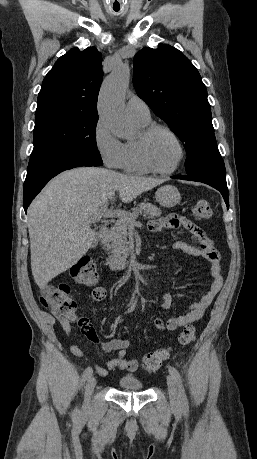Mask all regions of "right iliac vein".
Wrapping results in <instances>:
<instances>
[{"mask_svg":"<svg viewBox=\"0 0 257 459\" xmlns=\"http://www.w3.org/2000/svg\"><path fill=\"white\" fill-rule=\"evenodd\" d=\"M95 385H96V378L94 376H90L87 381L86 391H85V401L87 404L89 402L90 395L92 394Z\"/></svg>","mask_w":257,"mask_h":459,"instance_id":"63e3f726","label":"right iliac vein"}]
</instances>
